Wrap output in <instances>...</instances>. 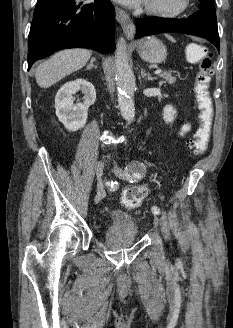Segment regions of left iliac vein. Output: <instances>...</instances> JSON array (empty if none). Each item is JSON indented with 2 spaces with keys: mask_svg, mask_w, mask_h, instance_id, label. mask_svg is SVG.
<instances>
[{
  "mask_svg": "<svg viewBox=\"0 0 233 328\" xmlns=\"http://www.w3.org/2000/svg\"><path fill=\"white\" fill-rule=\"evenodd\" d=\"M132 171V169L130 168V170H123L119 167H115L114 168V173L115 175L120 178V179H125V180H130L131 179V174L130 172ZM154 224L158 225L159 224V218L158 216H154Z\"/></svg>",
  "mask_w": 233,
  "mask_h": 328,
  "instance_id": "obj_1",
  "label": "left iliac vein"
}]
</instances>
